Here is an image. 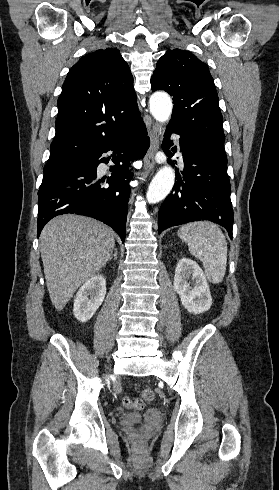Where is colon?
Returning a JSON list of instances; mask_svg holds the SVG:
<instances>
[{
	"instance_id": "1",
	"label": "colon",
	"mask_w": 279,
	"mask_h": 490,
	"mask_svg": "<svg viewBox=\"0 0 279 490\" xmlns=\"http://www.w3.org/2000/svg\"><path fill=\"white\" fill-rule=\"evenodd\" d=\"M155 392L151 388H145L141 393V396L131 400L129 397H124L121 400V405L123 407L129 408L133 407L134 409L141 411L146 403H149L154 400Z\"/></svg>"
}]
</instances>
